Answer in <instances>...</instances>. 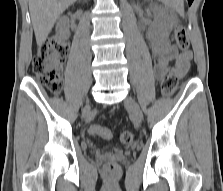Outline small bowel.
Returning a JSON list of instances; mask_svg holds the SVG:
<instances>
[{"instance_id": "c3829d8e", "label": "small bowel", "mask_w": 223, "mask_h": 191, "mask_svg": "<svg viewBox=\"0 0 223 191\" xmlns=\"http://www.w3.org/2000/svg\"><path fill=\"white\" fill-rule=\"evenodd\" d=\"M151 51L155 58V74L158 78L166 73L170 62H175L179 76L187 73L192 58L191 52H181L176 46L167 42L155 41L151 43Z\"/></svg>"}]
</instances>
